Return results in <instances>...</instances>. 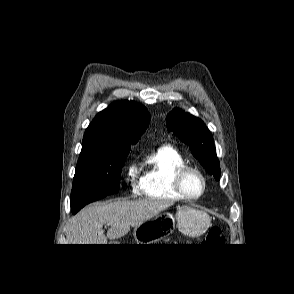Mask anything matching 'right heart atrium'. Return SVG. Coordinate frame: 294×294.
Masks as SVG:
<instances>
[{
    "label": "right heart atrium",
    "instance_id": "d8ad5b80",
    "mask_svg": "<svg viewBox=\"0 0 294 294\" xmlns=\"http://www.w3.org/2000/svg\"><path fill=\"white\" fill-rule=\"evenodd\" d=\"M125 179L130 186L132 193H137L139 186V168L135 161H132L125 171Z\"/></svg>",
    "mask_w": 294,
    "mask_h": 294
}]
</instances>
